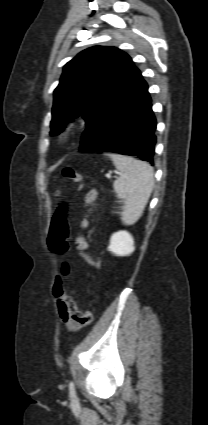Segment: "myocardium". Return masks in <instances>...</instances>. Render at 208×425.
<instances>
[{
  "mask_svg": "<svg viewBox=\"0 0 208 425\" xmlns=\"http://www.w3.org/2000/svg\"><path fill=\"white\" fill-rule=\"evenodd\" d=\"M77 131V126L71 125L67 127L60 135V138L63 142H69L75 135Z\"/></svg>",
  "mask_w": 208,
  "mask_h": 425,
  "instance_id": "obj_1",
  "label": "myocardium"
}]
</instances>
